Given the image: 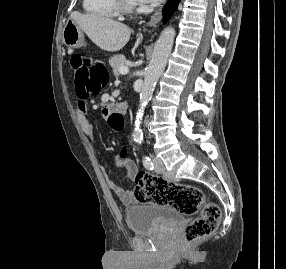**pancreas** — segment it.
I'll list each match as a JSON object with an SVG mask.
<instances>
[{"label":"pancreas","instance_id":"pancreas-1","mask_svg":"<svg viewBox=\"0 0 286 269\" xmlns=\"http://www.w3.org/2000/svg\"><path fill=\"white\" fill-rule=\"evenodd\" d=\"M109 64L115 75L119 74V69L127 65V60L124 55H115L109 60Z\"/></svg>","mask_w":286,"mask_h":269}]
</instances>
